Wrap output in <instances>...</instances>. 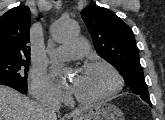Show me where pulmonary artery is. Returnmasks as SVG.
<instances>
[{
	"label": "pulmonary artery",
	"instance_id": "e3ab8cb5",
	"mask_svg": "<svg viewBox=\"0 0 165 120\" xmlns=\"http://www.w3.org/2000/svg\"><path fill=\"white\" fill-rule=\"evenodd\" d=\"M87 50L88 46L85 41L81 39H75L68 44L56 48L53 52V55L56 57H76L84 55Z\"/></svg>",
	"mask_w": 165,
	"mask_h": 120
}]
</instances>
